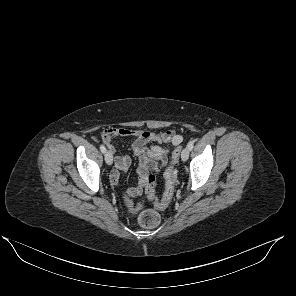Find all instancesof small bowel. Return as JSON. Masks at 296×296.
I'll return each instance as SVG.
<instances>
[{
    "label": "small bowel",
    "instance_id": "c3829d8e",
    "mask_svg": "<svg viewBox=\"0 0 296 296\" xmlns=\"http://www.w3.org/2000/svg\"><path fill=\"white\" fill-rule=\"evenodd\" d=\"M118 136L134 138L132 151L139 159V183L137 186L127 188L124 191L126 198H132L141 194L144 178L148 172H160L167 163L171 148L179 145L183 140L182 136L174 129L155 133L147 130L109 127L102 131L101 141L111 154L116 152L113 141ZM162 143H168L169 146L162 147L158 145ZM130 165L131 159L129 156L122 155L115 157V168L110 175V181L113 186H118L120 172L126 171Z\"/></svg>",
    "mask_w": 296,
    "mask_h": 296
}]
</instances>
